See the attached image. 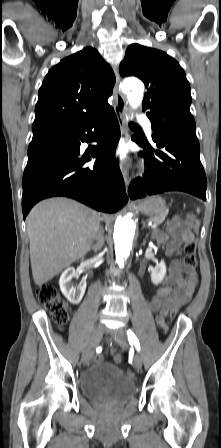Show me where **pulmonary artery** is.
I'll return each instance as SVG.
<instances>
[{"instance_id": "obj_1", "label": "pulmonary artery", "mask_w": 221, "mask_h": 448, "mask_svg": "<svg viewBox=\"0 0 221 448\" xmlns=\"http://www.w3.org/2000/svg\"><path fill=\"white\" fill-rule=\"evenodd\" d=\"M138 121H140L141 123L144 124L145 126V130L147 132L148 135H151L152 133V124L151 121L144 115H139L138 116Z\"/></svg>"}]
</instances>
